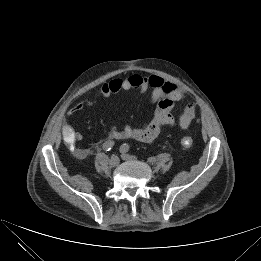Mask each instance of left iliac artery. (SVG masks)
Returning a JSON list of instances; mask_svg holds the SVG:
<instances>
[{
    "instance_id": "obj_1",
    "label": "left iliac artery",
    "mask_w": 261,
    "mask_h": 261,
    "mask_svg": "<svg viewBox=\"0 0 261 261\" xmlns=\"http://www.w3.org/2000/svg\"><path fill=\"white\" fill-rule=\"evenodd\" d=\"M129 149H130V146L128 144H126V143L120 146V151L121 152H128Z\"/></svg>"
}]
</instances>
